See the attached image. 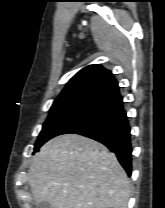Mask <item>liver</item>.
Returning a JSON list of instances; mask_svg holds the SVG:
<instances>
[{"label":"liver","mask_w":165,"mask_h":208,"mask_svg":"<svg viewBox=\"0 0 165 208\" xmlns=\"http://www.w3.org/2000/svg\"><path fill=\"white\" fill-rule=\"evenodd\" d=\"M29 183L36 203L52 208H127L126 172L101 143L77 134L59 135L32 159Z\"/></svg>","instance_id":"liver-1"}]
</instances>
